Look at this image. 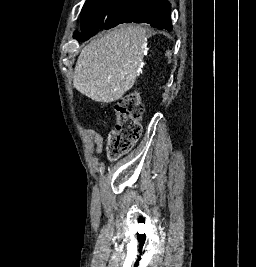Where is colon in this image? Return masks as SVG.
Here are the masks:
<instances>
[{
  "mask_svg": "<svg viewBox=\"0 0 256 267\" xmlns=\"http://www.w3.org/2000/svg\"><path fill=\"white\" fill-rule=\"evenodd\" d=\"M117 113L115 130L109 136V150L113 158H118L131 149L141 134L139 124L144 107L140 102L139 90L131 91L114 104Z\"/></svg>",
  "mask_w": 256,
  "mask_h": 267,
  "instance_id": "1",
  "label": "colon"
}]
</instances>
